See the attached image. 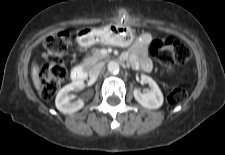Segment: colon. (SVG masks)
<instances>
[{
    "mask_svg": "<svg viewBox=\"0 0 225 155\" xmlns=\"http://www.w3.org/2000/svg\"><path fill=\"white\" fill-rule=\"evenodd\" d=\"M70 44L71 35L67 31L53 34L45 40L43 57L46 64L41 71L40 88V95L45 100L54 97L68 75L67 67L62 58L68 52ZM150 53L169 72L173 70L176 64H184L191 57V51L185 43L171 39H154L150 43ZM185 97V86L178 83L169 93L167 102L170 105H177Z\"/></svg>",
    "mask_w": 225,
    "mask_h": 155,
    "instance_id": "1",
    "label": "colon"
}]
</instances>
